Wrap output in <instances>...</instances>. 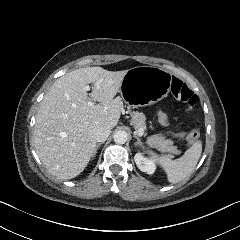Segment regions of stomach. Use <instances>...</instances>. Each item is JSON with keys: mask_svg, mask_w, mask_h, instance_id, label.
I'll return each mask as SVG.
<instances>
[{"mask_svg": "<svg viewBox=\"0 0 240 240\" xmlns=\"http://www.w3.org/2000/svg\"><path fill=\"white\" fill-rule=\"evenodd\" d=\"M171 74L156 66H137L127 70L119 89L121 98L130 106L159 102L170 92Z\"/></svg>", "mask_w": 240, "mask_h": 240, "instance_id": "1", "label": "stomach"}]
</instances>
